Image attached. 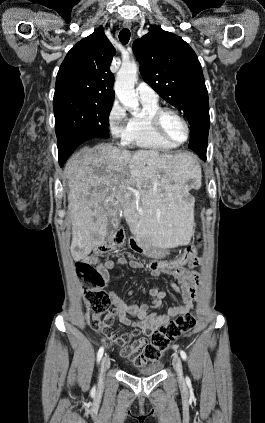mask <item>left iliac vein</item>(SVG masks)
<instances>
[{"label": "left iliac vein", "instance_id": "obj_1", "mask_svg": "<svg viewBox=\"0 0 265 423\" xmlns=\"http://www.w3.org/2000/svg\"><path fill=\"white\" fill-rule=\"evenodd\" d=\"M173 367L176 371L178 379L182 381L183 380L182 362L178 355H175L173 358Z\"/></svg>", "mask_w": 265, "mask_h": 423}]
</instances>
